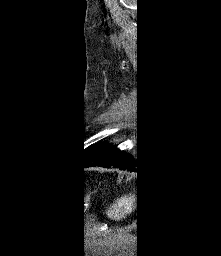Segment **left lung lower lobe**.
<instances>
[{
  "instance_id": "0a47b994",
  "label": "left lung lower lobe",
  "mask_w": 221,
  "mask_h": 256,
  "mask_svg": "<svg viewBox=\"0 0 221 256\" xmlns=\"http://www.w3.org/2000/svg\"><path fill=\"white\" fill-rule=\"evenodd\" d=\"M76 159L83 166H94L95 164L103 167L114 166L129 171H137L138 175L143 171L138 152L136 157L132 149L124 147V150H120L105 141L92 143L78 150Z\"/></svg>"
}]
</instances>
